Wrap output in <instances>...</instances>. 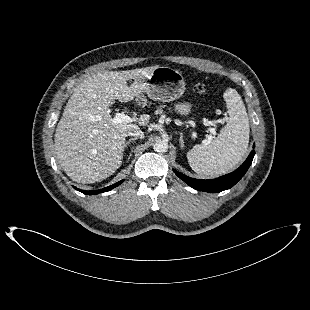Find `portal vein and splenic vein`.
<instances>
[{"mask_svg": "<svg viewBox=\"0 0 310 310\" xmlns=\"http://www.w3.org/2000/svg\"><path fill=\"white\" fill-rule=\"evenodd\" d=\"M131 121H132V118L130 116L125 115L124 113H121V112L115 113V116L112 119L113 123H129ZM210 131L214 132V129L210 128ZM211 140H212V136L210 135L207 139L204 140V142H210Z\"/></svg>", "mask_w": 310, "mask_h": 310, "instance_id": "1", "label": "portal vein and splenic vein"}]
</instances>
